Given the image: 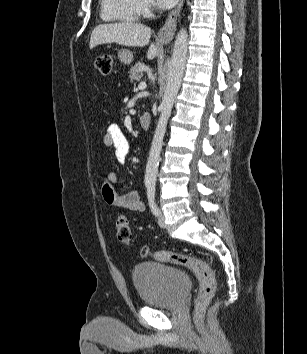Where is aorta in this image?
Returning a JSON list of instances; mask_svg holds the SVG:
<instances>
[{"mask_svg": "<svg viewBox=\"0 0 307 354\" xmlns=\"http://www.w3.org/2000/svg\"><path fill=\"white\" fill-rule=\"evenodd\" d=\"M188 52L187 30L182 28L174 43L173 53L168 64L167 85L160 105L161 113L153 136L146 165L144 182L146 186L155 185L167 123L174 101L179 92L185 71Z\"/></svg>", "mask_w": 307, "mask_h": 354, "instance_id": "1", "label": "aorta"}]
</instances>
